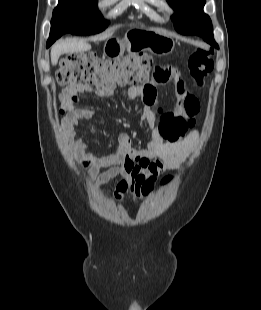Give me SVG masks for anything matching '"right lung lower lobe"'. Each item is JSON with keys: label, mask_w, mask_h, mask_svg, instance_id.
Instances as JSON below:
<instances>
[{"label": "right lung lower lobe", "mask_w": 261, "mask_h": 310, "mask_svg": "<svg viewBox=\"0 0 261 310\" xmlns=\"http://www.w3.org/2000/svg\"><path fill=\"white\" fill-rule=\"evenodd\" d=\"M60 36H61L60 34H56L54 36L49 37V39L47 41V47H49Z\"/></svg>", "instance_id": "98d812e1"}]
</instances>
